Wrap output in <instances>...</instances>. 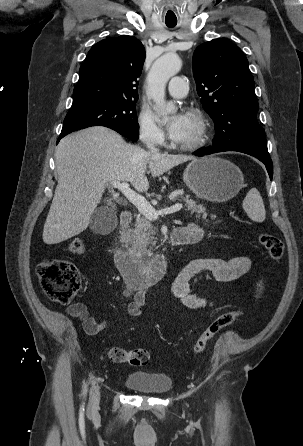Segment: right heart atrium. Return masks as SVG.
<instances>
[{
  "label": "right heart atrium",
  "instance_id": "right-heart-atrium-1",
  "mask_svg": "<svg viewBox=\"0 0 303 446\" xmlns=\"http://www.w3.org/2000/svg\"><path fill=\"white\" fill-rule=\"evenodd\" d=\"M138 131L142 142L148 146H161L165 142V134L153 114L142 110L138 116Z\"/></svg>",
  "mask_w": 303,
  "mask_h": 446
}]
</instances>
